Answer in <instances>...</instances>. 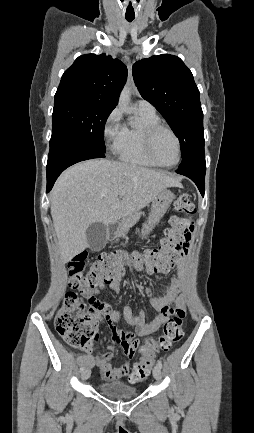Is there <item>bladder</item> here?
I'll list each match as a JSON object with an SVG mask.
<instances>
[{
    "mask_svg": "<svg viewBox=\"0 0 254 433\" xmlns=\"http://www.w3.org/2000/svg\"><path fill=\"white\" fill-rule=\"evenodd\" d=\"M100 393L112 398H129L137 396L139 389L124 382H102L98 384Z\"/></svg>",
    "mask_w": 254,
    "mask_h": 433,
    "instance_id": "bladder-1",
    "label": "bladder"
}]
</instances>
